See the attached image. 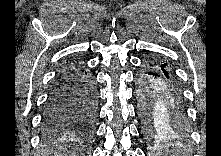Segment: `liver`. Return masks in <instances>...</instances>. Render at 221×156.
Segmentation results:
<instances>
[{"mask_svg": "<svg viewBox=\"0 0 221 156\" xmlns=\"http://www.w3.org/2000/svg\"><path fill=\"white\" fill-rule=\"evenodd\" d=\"M68 148L70 149V146L63 148V151H66V152H67V153H64V154L74 155V154H75V153H74L75 149H74V148H71V151H68V150H67ZM68 152H69V153H68Z\"/></svg>", "mask_w": 221, "mask_h": 156, "instance_id": "obj_1", "label": "liver"}]
</instances>
